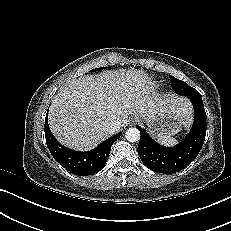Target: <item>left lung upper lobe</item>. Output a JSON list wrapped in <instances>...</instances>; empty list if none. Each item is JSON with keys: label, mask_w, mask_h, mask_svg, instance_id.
<instances>
[{"label": "left lung upper lobe", "mask_w": 231, "mask_h": 231, "mask_svg": "<svg viewBox=\"0 0 231 231\" xmlns=\"http://www.w3.org/2000/svg\"><path fill=\"white\" fill-rule=\"evenodd\" d=\"M172 88L175 90V92L179 95L183 96H201V94L191 86H189L187 83H185L182 80H179L173 76H170Z\"/></svg>", "instance_id": "obj_1"}]
</instances>
